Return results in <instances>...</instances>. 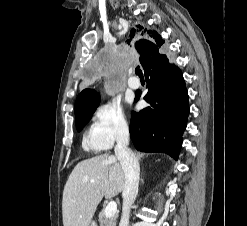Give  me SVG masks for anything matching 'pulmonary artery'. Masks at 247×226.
<instances>
[{"label": "pulmonary artery", "mask_w": 247, "mask_h": 226, "mask_svg": "<svg viewBox=\"0 0 247 226\" xmlns=\"http://www.w3.org/2000/svg\"><path fill=\"white\" fill-rule=\"evenodd\" d=\"M139 85H140L139 82L134 78H130L128 81V86L131 89H137L139 87Z\"/></svg>", "instance_id": "pulmonary-artery-1"}]
</instances>
